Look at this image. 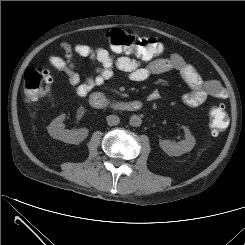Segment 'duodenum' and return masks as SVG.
I'll use <instances>...</instances> for the list:
<instances>
[{"label": "duodenum", "instance_id": "410a0bca", "mask_svg": "<svg viewBox=\"0 0 245 245\" xmlns=\"http://www.w3.org/2000/svg\"><path fill=\"white\" fill-rule=\"evenodd\" d=\"M89 103L96 109H108L113 111H127L134 112L142 108L143 104L140 101H114L107 99L101 93H93L89 97Z\"/></svg>", "mask_w": 245, "mask_h": 245}]
</instances>
